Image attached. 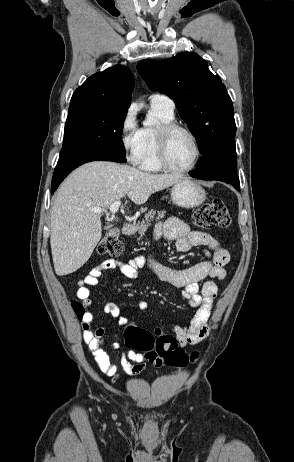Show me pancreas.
<instances>
[{"label": "pancreas", "mask_w": 294, "mask_h": 462, "mask_svg": "<svg viewBox=\"0 0 294 462\" xmlns=\"http://www.w3.org/2000/svg\"><path fill=\"white\" fill-rule=\"evenodd\" d=\"M156 212L154 210L148 211L145 214L144 219L142 220L141 224L138 226L137 231L140 234V237L144 236V233L147 231L148 227L151 225V221L154 220ZM165 211H158L156 220H160L164 217Z\"/></svg>", "instance_id": "1"}]
</instances>
